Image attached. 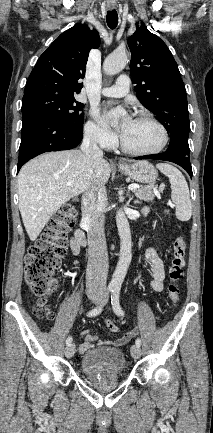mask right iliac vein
Segmentation results:
<instances>
[{
	"label": "right iliac vein",
	"instance_id": "63e3f726",
	"mask_svg": "<svg viewBox=\"0 0 213 433\" xmlns=\"http://www.w3.org/2000/svg\"><path fill=\"white\" fill-rule=\"evenodd\" d=\"M89 298L93 303H98L100 300V295L94 293L91 294ZM74 353H75V345L74 344L67 345V347L65 348V356L67 358H71L74 355Z\"/></svg>",
	"mask_w": 213,
	"mask_h": 433
}]
</instances>
